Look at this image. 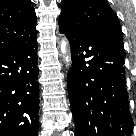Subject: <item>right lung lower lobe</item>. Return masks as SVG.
<instances>
[{"label": "right lung lower lobe", "mask_w": 136, "mask_h": 136, "mask_svg": "<svg viewBox=\"0 0 136 136\" xmlns=\"http://www.w3.org/2000/svg\"><path fill=\"white\" fill-rule=\"evenodd\" d=\"M37 35L0 51V136H37Z\"/></svg>", "instance_id": "1"}]
</instances>
